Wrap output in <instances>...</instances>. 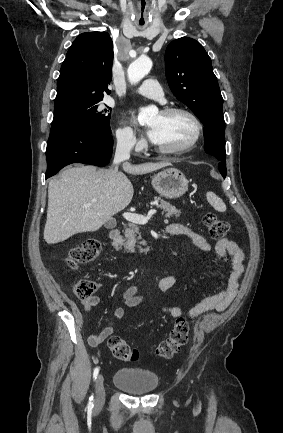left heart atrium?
I'll return each mask as SVG.
<instances>
[{"label":"left heart atrium","instance_id":"39dd6f15","mask_svg":"<svg viewBox=\"0 0 283 433\" xmlns=\"http://www.w3.org/2000/svg\"><path fill=\"white\" fill-rule=\"evenodd\" d=\"M147 135H148V138L152 144H154V145L158 144L159 136H158V132L155 129L150 128L147 131Z\"/></svg>","mask_w":283,"mask_h":433}]
</instances>
